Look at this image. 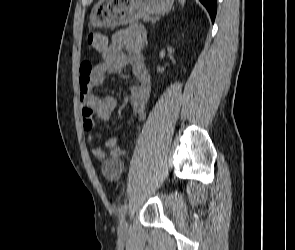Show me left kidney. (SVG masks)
Wrapping results in <instances>:
<instances>
[{
	"mask_svg": "<svg viewBox=\"0 0 295 250\" xmlns=\"http://www.w3.org/2000/svg\"><path fill=\"white\" fill-rule=\"evenodd\" d=\"M163 71H164V68H162V67H157V72L162 73Z\"/></svg>",
	"mask_w": 295,
	"mask_h": 250,
	"instance_id": "obj_1",
	"label": "left kidney"
}]
</instances>
